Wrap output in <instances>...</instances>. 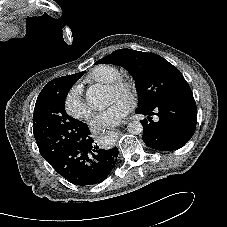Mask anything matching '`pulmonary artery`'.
Masks as SVG:
<instances>
[{
    "mask_svg": "<svg viewBox=\"0 0 227 227\" xmlns=\"http://www.w3.org/2000/svg\"><path fill=\"white\" fill-rule=\"evenodd\" d=\"M155 121H158V117H155Z\"/></svg>",
    "mask_w": 227,
    "mask_h": 227,
    "instance_id": "obj_1",
    "label": "pulmonary artery"
}]
</instances>
